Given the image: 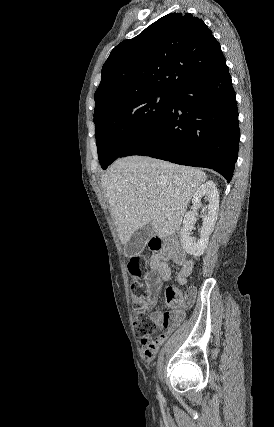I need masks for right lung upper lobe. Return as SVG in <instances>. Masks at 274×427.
I'll return each instance as SVG.
<instances>
[{"label":"right lung upper lobe","instance_id":"obj_1","mask_svg":"<svg viewBox=\"0 0 274 427\" xmlns=\"http://www.w3.org/2000/svg\"><path fill=\"white\" fill-rule=\"evenodd\" d=\"M225 62L201 19L181 12L165 15L111 51L95 92L94 117L132 96L173 94L219 71Z\"/></svg>","mask_w":274,"mask_h":427}]
</instances>
